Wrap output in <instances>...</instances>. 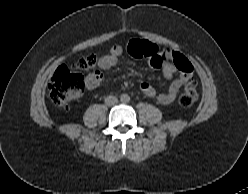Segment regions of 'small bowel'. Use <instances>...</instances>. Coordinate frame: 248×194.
Returning a JSON list of instances; mask_svg holds the SVG:
<instances>
[{"label":"small bowel","instance_id":"1","mask_svg":"<svg viewBox=\"0 0 248 194\" xmlns=\"http://www.w3.org/2000/svg\"><path fill=\"white\" fill-rule=\"evenodd\" d=\"M123 52L124 48L120 45H116L111 48L109 54L100 58L98 71L86 78L85 83L88 90H93L101 84L103 79L102 71L115 66ZM150 63L154 67L161 68L163 75L168 79L172 78L176 72H180L179 76L170 83L168 89L163 92L157 91L146 80L140 83V89L144 95L161 104H169L176 98L178 92L191 74V63L185 57H183L182 62H177L174 58V53L170 51H159L155 58H151Z\"/></svg>","mask_w":248,"mask_h":194}]
</instances>
